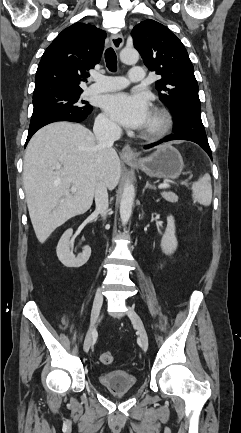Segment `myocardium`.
<instances>
[{"label": "myocardium", "mask_w": 241, "mask_h": 433, "mask_svg": "<svg viewBox=\"0 0 241 433\" xmlns=\"http://www.w3.org/2000/svg\"><path fill=\"white\" fill-rule=\"evenodd\" d=\"M172 126V118L169 112L161 107H155L152 112V123L148 125L143 135L148 139H160L164 137Z\"/></svg>", "instance_id": "f54148a6"}]
</instances>
